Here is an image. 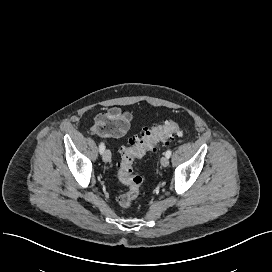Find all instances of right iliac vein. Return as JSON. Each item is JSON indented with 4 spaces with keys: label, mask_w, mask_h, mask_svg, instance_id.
<instances>
[{
    "label": "right iliac vein",
    "mask_w": 272,
    "mask_h": 272,
    "mask_svg": "<svg viewBox=\"0 0 272 272\" xmlns=\"http://www.w3.org/2000/svg\"><path fill=\"white\" fill-rule=\"evenodd\" d=\"M102 158H103V161H104L105 163H108V162L111 161V152H110L109 149H106V150L104 151Z\"/></svg>",
    "instance_id": "1"
}]
</instances>
